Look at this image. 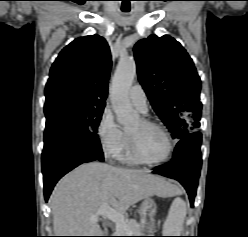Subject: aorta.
Masks as SVG:
<instances>
[{"mask_svg":"<svg viewBox=\"0 0 248 237\" xmlns=\"http://www.w3.org/2000/svg\"><path fill=\"white\" fill-rule=\"evenodd\" d=\"M136 70L133 59L121 60L112 79L110 99L117 122L122 126L132 125L138 119V114L129 100V89L136 76Z\"/></svg>","mask_w":248,"mask_h":237,"instance_id":"obj_1","label":"aorta"}]
</instances>
